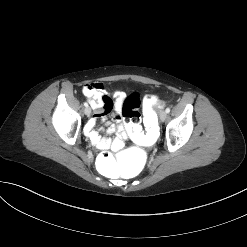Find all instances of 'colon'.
I'll return each instance as SVG.
<instances>
[{
	"label": "colon",
	"instance_id": "obj_1",
	"mask_svg": "<svg viewBox=\"0 0 247 247\" xmlns=\"http://www.w3.org/2000/svg\"><path fill=\"white\" fill-rule=\"evenodd\" d=\"M157 103V98L153 95H147L142 102V118L148 128L145 133L141 126L139 112L141 102L138 94H131L124 100L122 106L124 127L136 145L121 154L109 150L99 153L94 159V168L99 174L112 178H129L142 172L149 162V152L145 147L157 145L160 141V125L154 112Z\"/></svg>",
	"mask_w": 247,
	"mask_h": 247
}]
</instances>
